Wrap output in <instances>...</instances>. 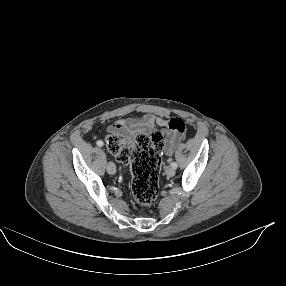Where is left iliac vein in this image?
Listing matches in <instances>:
<instances>
[{
    "label": "left iliac vein",
    "mask_w": 286,
    "mask_h": 286,
    "mask_svg": "<svg viewBox=\"0 0 286 286\" xmlns=\"http://www.w3.org/2000/svg\"><path fill=\"white\" fill-rule=\"evenodd\" d=\"M165 173L168 177H173L175 175V170L171 166H167L165 169Z\"/></svg>",
    "instance_id": "left-iliac-vein-1"
}]
</instances>
